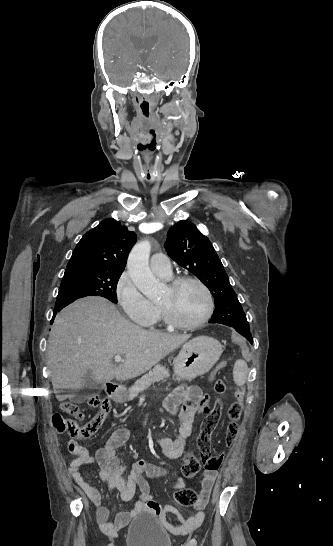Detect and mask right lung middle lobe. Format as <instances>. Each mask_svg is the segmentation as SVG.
Wrapping results in <instances>:
<instances>
[{
  "label": "right lung middle lobe",
  "mask_w": 333,
  "mask_h": 546,
  "mask_svg": "<svg viewBox=\"0 0 333 546\" xmlns=\"http://www.w3.org/2000/svg\"><path fill=\"white\" fill-rule=\"evenodd\" d=\"M123 270H98L89 273L65 274L54 311L61 310L76 299L102 296L117 303L116 287Z\"/></svg>",
  "instance_id": "dd1d6c3e"
}]
</instances>
